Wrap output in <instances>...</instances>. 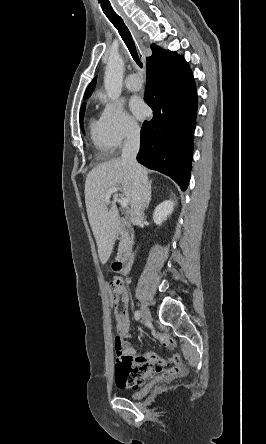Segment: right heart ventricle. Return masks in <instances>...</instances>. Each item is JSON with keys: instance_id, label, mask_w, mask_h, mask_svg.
<instances>
[{"instance_id": "e07e8e85", "label": "right heart ventricle", "mask_w": 266, "mask_h": 444, "mask_svg": "<svg viewBox=\"0 0 266 444\" xmlns=\"http://www.w3.org/2000/svg\"><path fill=\"white\" fill-rule=\"evenodd\" d=\"M89 133L91 142L98 153L102 156H109L112 152V147L105 134L101 118H92L90 120Z\"/></svg>"}]
</instances>
